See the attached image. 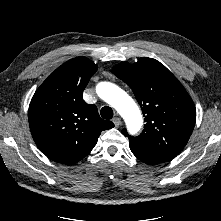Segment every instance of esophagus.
<instances>
[{
	"instance_id": "obj_1",
	"label": "esophagus",
	"mask_w": 221,
	"mask_h": 221,
	"mask_svg": "<svg viewBox=\"0 0 221 221\" xmlns=\"http://www.w3.org/2000/svg\"><path fill=\"white\" fill-rule=\"evenodd\" d=\"M113 123L115 127H119L122 124L121 119L119 117L113 118Z\"/></svg>"
}]
</instances>
